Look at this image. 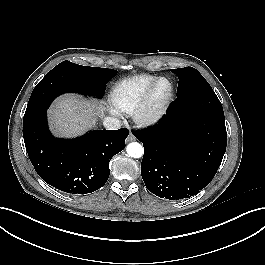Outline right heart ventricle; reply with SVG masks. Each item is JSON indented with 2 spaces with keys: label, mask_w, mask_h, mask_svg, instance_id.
Here are the masks:
<instances>
[{
  "label": "right heart ventricle",
  "mask_w": 265,
  "mask_h": 265,
  "mask_svg": "<svg viewBox=\"0 0 265 265\" xmlns=\"http://www.w3.org/2000/svg\"><path fill=\"white\" fill-rule=\"evenodd\" d=\"M155 75L140 74L118 81L111 89L109 102L116 113L132 114Z\"/></svg>",
  "instance_id": "e07e8e85"
}]
</instances>
